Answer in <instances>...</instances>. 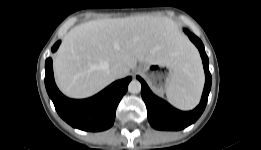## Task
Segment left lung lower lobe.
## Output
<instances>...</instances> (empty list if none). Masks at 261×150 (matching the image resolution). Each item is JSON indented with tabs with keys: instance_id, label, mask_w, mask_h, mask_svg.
I'll use <instances>...</instances> for the list:
<instances>
[{
	"instance_id": "0a47b994",
	"label": "left lung lower lobe",
	"mask_w": 261,
	"mask_h": 150,
	"mask_svg": "<svg viewBox=\"0 0 261 150\" xmlns=\"http://www.w3.org/2000/svg\"><path fill=\"white\" fill-rule=\"evenodd\" d=\"M184 32L200 51L206 76L204 91L200 104L194 110L182 112L172 107L166 101L155 96L147 86L146 82L142 78L137 77L142 84L141 95L147 107L148 120L151 126L158 130H181L186 128L201 116L207 104L212 80L209 72L208 57L201 40L194 34L190 33L187 29H184Z\"/></svg>"
}]
</instances>
